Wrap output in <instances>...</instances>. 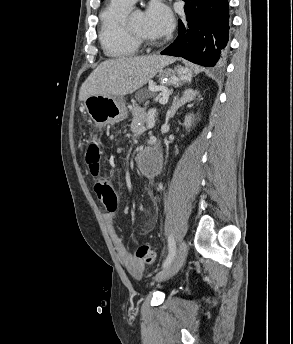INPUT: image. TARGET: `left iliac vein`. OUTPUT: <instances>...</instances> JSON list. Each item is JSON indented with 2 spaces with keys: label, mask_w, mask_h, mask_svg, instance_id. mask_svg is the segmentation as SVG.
<instances>
[{
  "label": "left iliac vein",
  "mask_w": 293,
  "mask_h": 344,
  "mask_svg": "<svg viewBox=\"0 0 293 344\" xmlns=\"http://www.w3.org/2000/svg\"><path fill=\"white\" fill-rule=\"evenodd\" d=\"M187 252L185 241H181L172 262L155 276V281H164L174 276L182 267Z\"/></svg>",
  "instance_id": "4c4485c4"
}]
</instances>
